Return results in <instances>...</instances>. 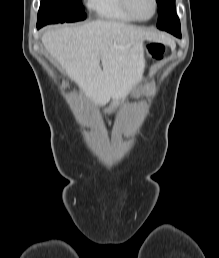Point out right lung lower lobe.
<instances>
[{
    "label": "right lung lower lobe",
    "instance_id": "right-lung-lower-lobe-1",
    "mask_svg": "<svg viewBox=\"0 0 219 258\" xmlns=\"http://www.w3.org/2000/svg\"><path fill=\"white\" fill-rule=\"evenodd\" d=\"M37 28L39 29V28H41V26H38V25H37Z\"/></svg>",
    "mask_w": 219,
    "mask_h": 258
}]
</instances>
